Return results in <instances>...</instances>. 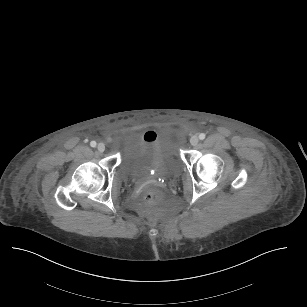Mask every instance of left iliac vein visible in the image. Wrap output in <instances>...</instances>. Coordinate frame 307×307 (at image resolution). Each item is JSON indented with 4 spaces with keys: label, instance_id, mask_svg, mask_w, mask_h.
Returning a JSON list of instances; mask_svg holds the SVG:
<instances>
[{
    "label": "left iliac vein",
    "instance_id": "1",
    "mask_svg": "<svg viewBox=\"0 0 307 307\" xmlns=\"http://www.w3.org/2000/svg\"><path fill=\"white\" fill-rule=\"evenodd\" d=\"M198 142H199V139H198L197 136H192V137H191V139H190V144H191L192 146H196V145L198 144Z\"/></svg>",
    "mask_w": 307,
    "mask_h": 307
}]
</instances>
